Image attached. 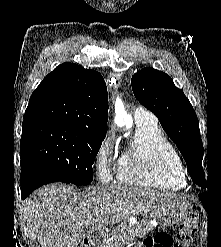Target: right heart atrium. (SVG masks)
I'll return each instance as SVG.
<instances>
[{
    "label": "right heart atrium",
    "instance_id": "right-heart-atrium-1",
    "mask_svg": "<svg viewBox=\"0 0 221 247\" xmlns=\"http://www.w3.org/2000/svg\"><path fill=\"white\" fill-rule=\"evenodd\" d=\"M97 174L101 181L109 182L113 173V147L110 135L102 139L95 156Z\"/></svg>",
    "mask_w": 221,
    "mask_h": 247
}]
</instances>
